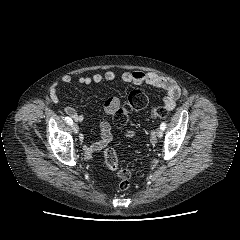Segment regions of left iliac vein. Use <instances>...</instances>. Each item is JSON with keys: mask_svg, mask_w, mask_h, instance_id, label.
I'll use <instances>...</instances> for the list:
<instances>
[{"mask_svg": "<svg viewBox=\"0 0 240 240\" xmlns=\"http://www.w3.org/2000/svg\"><path fill=\"white\" fill-rule=\"evenodd\" d=\"M156 135L158 138H161L163 136V130L161 128H158L156 130Z\"/></svg>", "mask_w": 240, "mask_h": 240, "instance_id": "left-iliac-vein-1", "label": "left iliac vein"}]
</instances>
